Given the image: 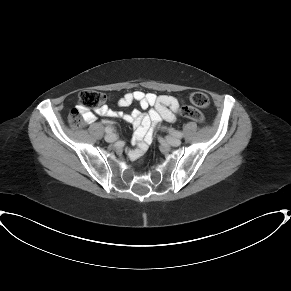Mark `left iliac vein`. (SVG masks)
Here are the masks:
<instances>
[{
  "label": "left iliac vein",
  "instance_id": "4c4485c4",
  "mask_svg": "<svg viewBox=\"0 0 291 291\" xmlns=\"http://www.w3.org/2000/svg\"><path fill=\"white\" fill-rule=\"evenodd\" d=\"M166 141L168 144L172 145V146H179L181 144L180 139L174 137V136H167L166 137Z\"/></svg>",
  "mask_w": 291,
  "mask_h": 291
}]
</instances>
